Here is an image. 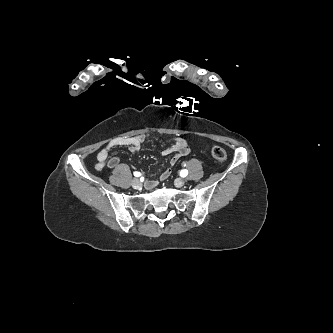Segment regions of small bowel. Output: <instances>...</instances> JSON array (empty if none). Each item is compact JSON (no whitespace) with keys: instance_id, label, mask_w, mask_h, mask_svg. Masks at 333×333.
I'll return each mask as SVG.
<instances>
[{"instance_id":"small-bowel-1","label":"small bowel","mask_w":333,"mask_h":333,"mask_svg":"<svg viewBox=\"0 0 333 333\" xmlns=\"http://www.w3.org/2000/svg\"><path fill=\"white\" fill-rule=\"evenodd\" d=\"M146 141L145 135H138L133 137H117L111 140L104 148H102L97 154V163L95 165L96 170L101 171L104 168H116L120 164V159L116 156L109 158V153L112 149L118 147H127L132 153H137L142 144ZM190 146L188 142L183 138H175L173 144L163 150V155H172L170 164L173 166L177 164L182 156L189 153ZM171 170L169 168L162 171L160 174L161 180H166L170 176ZM157 187V181L149 180L147 188L153 190Z\"/></svg>"}]
</instances>
